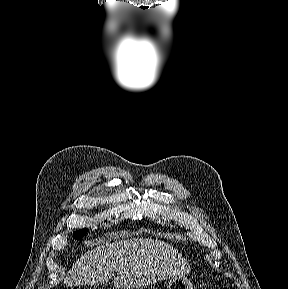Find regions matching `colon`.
<instances>
[{
	"mask_svg": "<svg viewBox=\"0 0 288 289\" xmlns=\"http://www.w3.org/2000/svg\"><path fill=\"white\" fill-rule=\"evenodd\" d=\"M75 289H82V288H79V287H78V288H75ZM222 289H228V288H222Z\"/></svg>",
	"mask_w": 288,
	"mask_h": 289,
	"instance_id": "colon-1",
	"label": "colon"
}]
</instances>
